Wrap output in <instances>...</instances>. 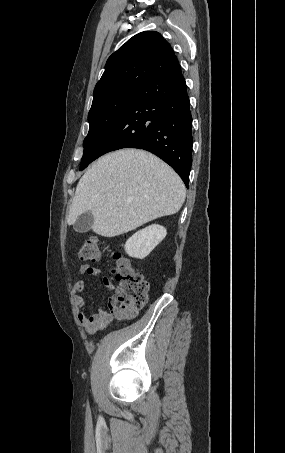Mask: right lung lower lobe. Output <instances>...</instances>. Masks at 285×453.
Returning a JSON list of instances; mask_svg holds the SVG:
<instances>
[{
    "instance_id": "right-lung-lower-lobe-1",
    "label": "right lung lower lobe",
    "mask_w": 285,
    "mask_h": 453,
    "mask_svg": "<svg viewBox=\"0 0 285 453\" xmlns=\"http://www.w3.org/2000/svg\"><path fill=\"white\" fill-rule=\"evenodd\" d=\"M192 146L189 97L177 64L142 86L99 156L121 148L147 150L168 163L188 187Z\"/></svg>"
}]
</instances>
